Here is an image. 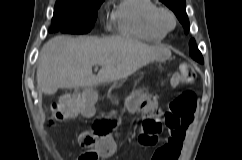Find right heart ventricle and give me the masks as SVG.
<instances>
[{
    "mask_svg": "<svg viewBox=\"0 0 242 160\" xmlns=\"http://www.w3.org/2000/svg\"><path fill=\"white\" fill-rule=\"evenodd\" d=\"M154 0H119L110 15L118 34L147 42H159L166 32L152 20L157 9Z\"/></svg>",
    "mask_w": 242,
    "mask_h": 160,
    "instance_id": "1",
    "label": "right heart ventricle"
}]
</instances>
